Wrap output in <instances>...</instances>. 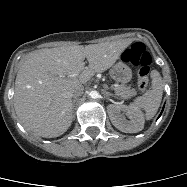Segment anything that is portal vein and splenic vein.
Segmentation results:
<instances>
[{
  "label": "portal vein and splenic vein",
  "mask_w": 187,
  "mask_h": 187,
  "mask_svg": "<svg viewBox=\"0 0 187 187\" xmlns=\"http://www.w3.org/2000/svg\"><path fill=\"white\" fill-rule=\"evenodd\" d=\"M72 77H74V76H77V74H73V75H71Z\"/></svg>",
  "instance_id": "obj_1"
}]
</instances>
